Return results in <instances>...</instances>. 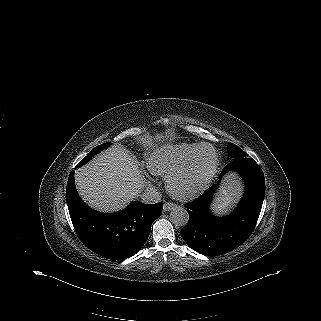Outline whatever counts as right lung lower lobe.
Returning a JSON list of instances; mask_svg holds the SVG:
<instances>
[{
  "instance_id": "right-lung-lower-lobe-1",
  "label": "right lung lower lobe",
  "mask_w": 321,
  "mask_h": 321,
  "mask_svg": "<svg viewBox=\"0 0 321 321\" xmlns=\"http://www.w3.org/2000/svg\"><path fill=\"white\" fill-rule=\"evenodd\" d=\"M66 201L76 233L82 243L107 259L124 260L144 245L152 223L161 216L163 204L132 202L126 209L104 214L89 208L79 197L70 173Z\"/></svg>"
}]
</instances>
